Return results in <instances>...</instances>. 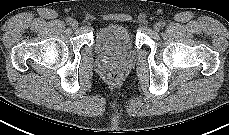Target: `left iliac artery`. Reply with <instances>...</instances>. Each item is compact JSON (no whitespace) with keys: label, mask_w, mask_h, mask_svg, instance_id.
<instances>
[{"label":"left iliac artery","mask_w":229,"mask_h":135,"mask_svg":"<svg viewBox=\"0 0 229 135\" xmlns=\"http://www.w3.org/2000/svg\"><path fill=\"white\" fill-rule=\"evenodd\" d=\"M160 25H161V27H164L165 26V22L164 21H161L160 22Z\"/></svg>","instance_id":"obj_1"}]
</instances>
